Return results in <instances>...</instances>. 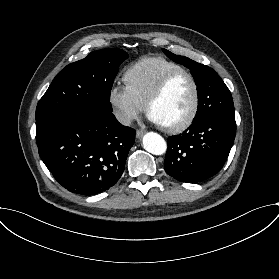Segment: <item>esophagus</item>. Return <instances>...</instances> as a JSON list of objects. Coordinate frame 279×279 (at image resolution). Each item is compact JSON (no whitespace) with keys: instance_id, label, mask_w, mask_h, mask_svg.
<instances>
[{"instance_id":"esophagus-1","label":"esophagus","mask_w":279,"mask_h":279,"mask_svg":"<svg viewBox=\"0 0 279 279\" xmlns=\"http://www.w3.org/2000/svg\"><path fill=\"white\" fill-rule=\"evenodd\" d=\"M145 134V132L143 130H137L136 131V137L139 139V138H142L143 135Z\"/></svg>"}]
</instances>
